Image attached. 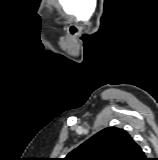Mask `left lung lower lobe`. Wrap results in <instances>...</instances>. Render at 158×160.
<instances>
[{"instance_id":"1","label":"left lung lower lobe","mask_w":158,"mask_h":160,"mask_svg":"<svg viewBox=\"0 0 158 160\" xmlns=\"http://www.w3.org/2000/svg\"><path fill=\"white\" fill-rule=\"evenodd\" d=\"M129 160H147V158H145L144 152L138 144H136L134 147L132 156Z\"/></svg>"}]
</instances>
